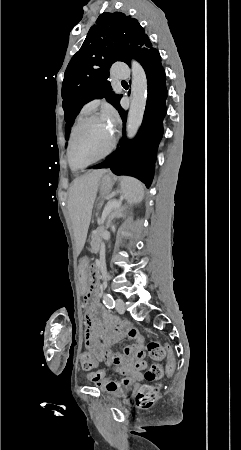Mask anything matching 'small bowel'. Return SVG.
Segmentation results:
<instances>
[{"label": "small bowel", "instance_id": "obj_1", "mask_svg": "<svg viewBox=\"0 0 241 450\" xmlns=\"http://www.w3.org/2000/svg\"><path fill=\"white\" fill-rule=\"evenodd\" d=\"M82 304L93 310L98 301L96 298H84ZM82 314L86 317L87 324L84 333L85 346L94 347V360H102L108 369L122 375L118 380L111 379L106 376L108 369H101L88 373V380L96 387L111 393L121 392L126 387L142 381V371L147 360L144 350L145 337L139 330L129 323H124L120 331L118 324H105L103 329L96 330L91 325H100V316H92L93 313L89 309L84 310ZM124 338L133 340L134 344L125 346L119 353H112L111 347Z\"/></svg>", "mask_w": 241, "mask_h": 450}]
</instances>
